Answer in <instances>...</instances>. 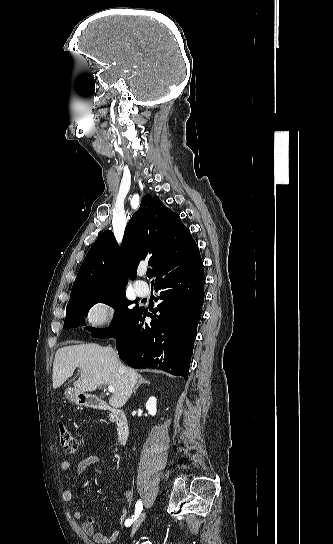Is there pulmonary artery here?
Wrapping results in <instances>:
<instances>
[{
    "instance_id": "pulmonary-artery-1",
    "label": "pulmonary artery",
    "mask_w": 333,
    "mask_h": 544,
    "mask_svg": "<svg viewBox=\"0 0 333 544\" xmlns=\"http://www.w3.org/2000/svg\"><path fill=\"white\" fill-rule=\"evenodd\" d=\"M134 288H135L136 293L139 296H142V297L146 296L148 294V292H149L148 285L143 281L135 282Z\"/></svg>"
}]
</instances>
